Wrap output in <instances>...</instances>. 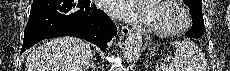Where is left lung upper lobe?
<instances>
[{"instance_id": "left-lung-upper-lobe-1", "label": "left lung upper lobe", "mask_w": 230, "mask_h": 71, "mask_svg": "<svg viewBox=\"0 0 230 71\" xmlns=\"http://www.w3.org/2000/svg\"><path fill=\"white\" fill-rule=\"evenodd\" d=\"M191 9L190 12L202 13V0H184Z\"/></svg>"}]
</instances>
